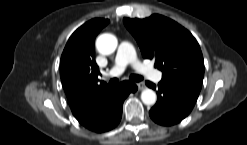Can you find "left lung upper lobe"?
<instances>
[{
	"label": "left lung upper lobe",
	"instance_id": "obj_1",
	"mask_svg": "<svg viewBox=\"0 0 247 145\" xmlns=\"http://www.w3.org/2000/svg\"><path fill=\"white\" fill-rule=\"evenodd\" d=\"M144 58L155 59L162 78L200 92L204 77L201 49L193 35L175 21L154 14L145 19L124 18Z\"/></svg>",
	"mask_w": 247,
	"mask_h": 145
}]
</instances>
